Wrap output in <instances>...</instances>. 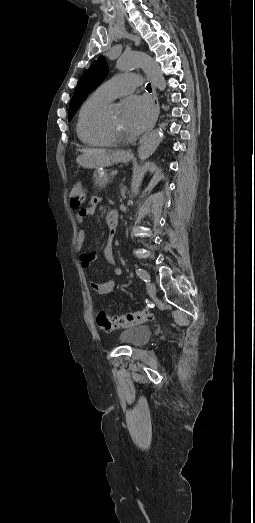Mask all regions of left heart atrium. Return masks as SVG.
<instances>
[{"instance_id": "1", "label": "left heart atrium", "mask_w": 255, "mask_h": 523, "mask_svg": "<svg viewBox=\"0 0 255 523\" xmlns=\"http://www.w3.org/2000/svg\"><path fill=\"white\" fill-rule=\"evenodd\" d=\"M124 117L132 134L140 133L153 117V105L144 96H131L124 106Z\"/></svg>"}]
</instances>
